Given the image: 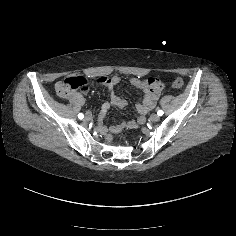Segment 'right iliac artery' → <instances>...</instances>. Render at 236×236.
<instances>
[{"instance_id":"1","label":"right iliac artery","mask_w":236,"mask_h":236,"mask_svg":"<svg viewBox=\"0 0 236 236\" xmlns=\"http://www.w3.org/2000/svg\"><path fill=\"white\" fill-rule=\"evenodd\" d=\"M78 118H79V119H83V118H84V115H83L82 113H79V114H78Z\"/></svg>"}]
</instances>
